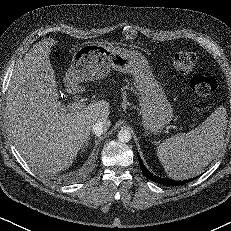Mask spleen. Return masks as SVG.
<instances>
[{"mask_svg":"<svg viewBox=\"0 0 231 231\" xmlns=\"http://www.w3.org/2000/svg\"><path fill=\"white\" fill-rule=\"evenodd\" d=\"M226 127L227 111L219 106L195 129L164 140L157 156L167 175L184 180L201 174L222 147Z\"/></svg>","mask_w":231,"mask_h":231,"instance_id":"1","label":"spleen"}]
</instances>
